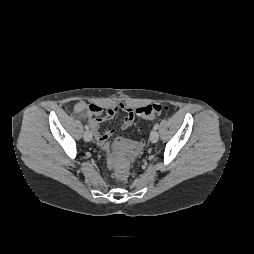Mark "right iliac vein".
<instances>
[{
  "label": "right iliac vein",
  "mask_w": 254,
  "mask_h": 254,
  "mask_svg": "<svg viewBox=\"0 0 254 254\" xmlns=\"http://www.w3.org/2000/svg\"><path fill=\"white\" fill-rule=\"evenodd\" d=\"M83 138L85 141L89 142L92 140V132L87 130L84 132Z\"/></svg>",
  "instance_id": "1"
}]
</instances>
